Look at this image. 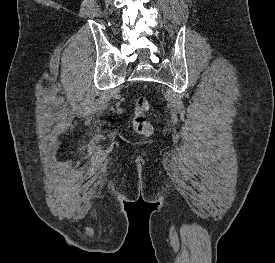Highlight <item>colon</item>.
Listing matches in <instances>:
<instances>
[{
  "mask_svg": "<svg viewBox=\"0 0 275 263\" xmlns=\"http://www.w3.org/2000/svg\"><path fill=\"white\" fill-rule=\"evenodd\" d=\"M150 101L146 97H137L134 102L133 127L141 135L148 136L152 133V125L147 118L150 111Z\"/></svg>",
  "mask_w": 275,
  "mask_h": 263,
  "instance_id": "5ec220e1",
  "label": "colon"
}]
</instances>
